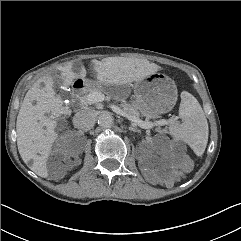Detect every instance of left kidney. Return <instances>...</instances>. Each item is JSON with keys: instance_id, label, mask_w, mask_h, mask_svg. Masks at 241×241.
Listing matches in <instances>:
<instances>
[{"instance_id": "obj_1", "label": "left kidney", "mask_w": 241, "mask_h": 241, "mask_svg": "<svg viewBox=\"0 0 241 241\" xmlns=\"http://www.w3.org/2000/svg\"><path fill=\"white\" fill-rule=\"evenodd\" d=\"M153 150L155 151V146H153V144H149L148 149H146L147 155L152 156Z\"/></svg>"}]
</instances>
